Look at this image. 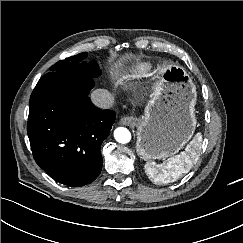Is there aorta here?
Wrapping results in <instances>:
<instances>
[{"label":"aorta","instance_id":"aorta-1","mask_svg":"<svg viewBox=\"0 0 243 243\" xmlns=\"http://www.w3.org/2000/svg\"><path fill=\"white\" fill-rule=\"evenodd\" d=\"M114 138L117 142L126 144L131 140V133L127 128L119 127L114 131Z\"/></svg>","mask_w":243,"mask_h":243}]
</instances>
